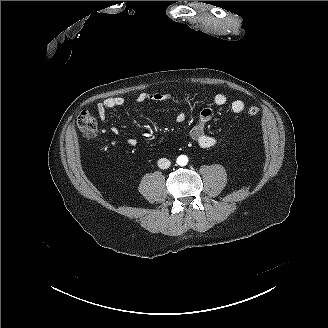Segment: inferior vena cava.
I'll use <instances>...</instances> for the list:
<instances>
[{
    "mask_svg": "<svg viewBox=\"0 0 328 328\" xmlns=\"http://www.w3.org/2000/svg\"><path fill=\"white\" fill-rule=\"evenodd\" d=\"M170 165H171V162L167 158H161L158 160V166L161 169H167L170 167Z\"/></svg>",
    "mask_w": 328,
    "mask_h": 328,
    "instance_id": "inferior-vena-cava-1",
    "label": "inferior vena cava"
}]
</instances>
